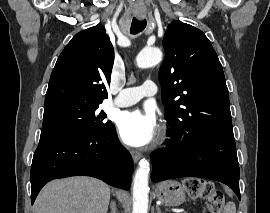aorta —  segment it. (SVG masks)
<instances>
[{"instance_id": "762f6f07", "label": "aorta", "mask_w": 270, "mask_h": 213, "mask_svg": "<svg viewBox=\"0 0 270 213\" xmlns=\"http://www.w3.org/2000/svg\"><path fill=\"white\" fill-rule=\"evenodd\" d=\"M162 60V52L158 48H145L136 58L137 66L148 68L158 64ZM150 165L145 159L139 162L133 180V211L132 213H147L148 211V179Z\"/></svg>"}]
</instances>
